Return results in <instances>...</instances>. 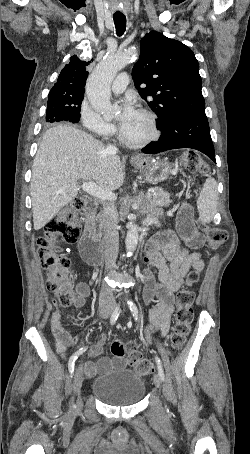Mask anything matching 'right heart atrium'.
Instances as JSON below:
<instances>
[{
    "instance_id": "right-heart-atrium-1",
    "label": "right heart atrium",
    "mask_w": 250,
    "mask_h": 454,
    "mask_svg": "<svg viewBox=\"0 0 250 454\" xmlns=\"http://www.w3.org/2000/svg\"><path fill=\"white\" fill-rule=\"evenodd\" d=\"M79 116L83 128L98 137H108L114 133L113 125L105 121L87 99L81 103Z\"/></svg>"
}]
</instances>
